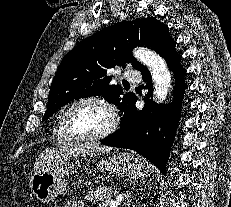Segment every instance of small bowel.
I'll return each instance as SVG.
<instances>
[{
  "label": "small bowel",
  "instance_id": "obj_1",
  "mask_svg": "<svg viewBox=\"0 0 231 207\" xmlns=\"http://www.w3.org/2000/svg\"><path fill=\"white\" fill-rule=\"evenodd\" d=\"M64 207H85V205L80 201H74L70 204L65 205Z\"/></svg>",
  "mask_w": 231,
  "mask_h": 207
}]
</instances>
